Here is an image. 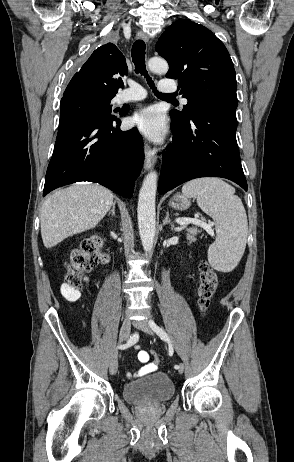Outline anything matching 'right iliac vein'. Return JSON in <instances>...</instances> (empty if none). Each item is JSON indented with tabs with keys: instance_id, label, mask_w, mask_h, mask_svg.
Instances as JSON below:
<instances>
[{
	"instance_id": "1",
	"label": "right iliac vein",
	"mask_w": 294,
	"mask_h": 462,
	"mask_svg": "<svg viewBox=\"0 0 294 462\" xmlns=\"http://www.w3.org/2000/svg\"><path fill=\"white\" fill-rule=\"evenodd\" d=\"M130 331H131V321L129 319H125L121 326V330H120V336H119L120 342L124 341L129 336ZM117 370H118V356H117V350H115L110 360L109 371L112 375H115Z\"/></svg>"
}]
</instances>
